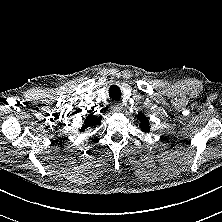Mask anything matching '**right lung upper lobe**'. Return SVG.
Wrapping results in <instances>:
<instances>
[{
    "label": "right lung upper lobe",
    "mask_w": 222,
    "mask_h": 222,
    "mask_svg": "<svg viewBox=\"0 0 222 222\" xmlns=\"http://www.w3.org/2000/svg\"><path fill=\"white\" fill-rule=\"evenodd\" d=\"M102 116H96L94 113H91L87 116L84 121V125L82 126L80 131H84L87 128H95L97 125L101 123Z\"/></svg>",
    "instance_id": "1"
}]
</instances>
